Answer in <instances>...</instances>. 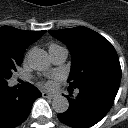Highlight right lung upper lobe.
Masks as SVG:
<instances>
[{"mask_svg": "<svg viewBox=\"0 0 128 128\" xmlns=\"http://www.w3.org/2000/svg\"><path fill=\"white\" fill-rule=\"evenodd\" d=\"M46 31L19 30L11 26L0 27V54L22 58L25 49Z\"/></svg>", "mask_w": 128, "mask_h": 128, "instance_id": "1", "label": "right lung upper lobe"}]
</instances>
